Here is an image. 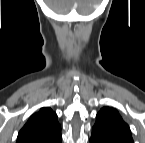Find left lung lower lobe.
I'll return each mask as SVG.
<instances>
[{
	"label": "left lung lower lobe",
	"instance_id": "0a47b994",
	"mask_svg": "<svg viewBox=\"0 0 145 143\" xmlns=\"http://www.w3.org/2000/svg\"><path fill=\"white\" fill-rule=\"evenodd\" d=\"M90 141L94 142V143H100L98 142L95 138L91 137Z\"/></svg>",
	"mask_w": 145,
	"mask_h": 143
}]
</instances>
